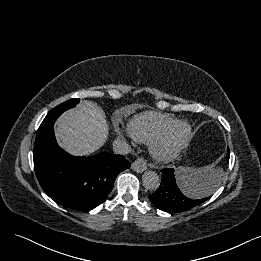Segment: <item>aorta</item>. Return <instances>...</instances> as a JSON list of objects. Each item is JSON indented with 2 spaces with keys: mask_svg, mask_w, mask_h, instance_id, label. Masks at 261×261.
Returning <instances> with one entry per match:
<instances>
[{
  "mask_svg": "<svg viewBox=\"0 0 261 261\" xmlns=\"http://www.w3.org/2000/svg\"><path fill=\"white\" fill-rule=\"evenodd\" d=\"M143 186L147 190H157L160 186V178L155 171H146L142 177Z\"/></svg>",
  "mask_w": 261,
  "mask_h": 261,
  "instance_id": "762f6f07",
  "label": "aorta"
}]
</instances>
